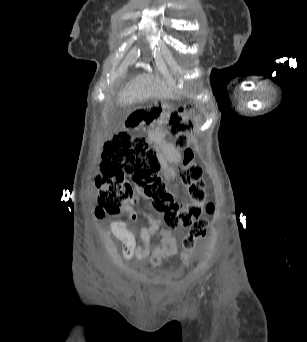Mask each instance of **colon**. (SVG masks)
<instances>
[{"label": "colon", "mask_w": 307, "mask_h": 342, "mask_svg": "<svg viewBox=\"0 0 307 342\" xmlns=\"http://www.w3.org/2000/svg\"><path fill=\"white\" fill-rule=\"evenodd\" d=\"M194 114L186 108H179L169 115L170 133L175 137L177 147L183 150L179 164L178 179L187 189L189 201L183 202L171 192L159 176L161 166L153 147L139 135L120 131L104 145L102 166L95 183L99 189L98 212L100 216L118 215L123 206L132 198V187L125 182L129 177L150 201L152 210L163 217L170 228L178 225L189 229L182 239V259L188 261L189 252L207 234V220L201 218L202 211L210 214L214 203L205 200V183L202 168L195 163L197 153L188 146L187 134L192 127ZM165 232L167 229H161ZM163 243L154 248L152 262L158 264L157 254H177L178 239L167 231Z\"/></svg>", "instance_id": "5ec220e1"}]
</instances>
